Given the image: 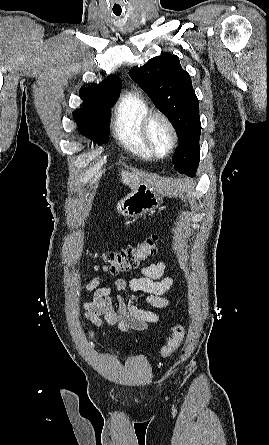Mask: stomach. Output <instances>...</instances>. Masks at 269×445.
<instances>
[{
	"mask_svg": "<svg viewBox=\"0 0 269 445\" xmlns=\"http://www.w3.org/2000/svg\"><path fill=\"white\" fill-rule=\"evenodd\" d=\"M164 196L156 183L145 179L118 202L116 209L123 216L137 218L160 207Z\"/></svg>",
	"mask_w": 269,
	"mask_h": 445,
	"instance_id": "1",
	"label": "stomach"
}]
</instances>
